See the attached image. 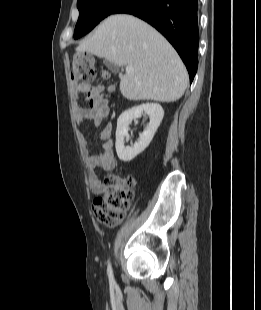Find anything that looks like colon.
<instances>
[{"label":"colon","instance_id":"colon-1","mask_svg":"<svg viewBox=\"0 0 261 310\" xmlns=\"http://www.w3.org/2000/svg\"><path fill=\"white\" fill-rule=\"evenodd\" d=\"M70 75L76 85L95 81L98 70L93 56L88 53H76L71 61ZM101 76L106 78L108 74L103 71ZM134 185L135 182L130 177L117 174H109L105 177L104 193L93 202V212L99 223L113 227L123 219L133 197Z\"/></svg>","mask_w":261,"mask_h":310}]
</instances>
